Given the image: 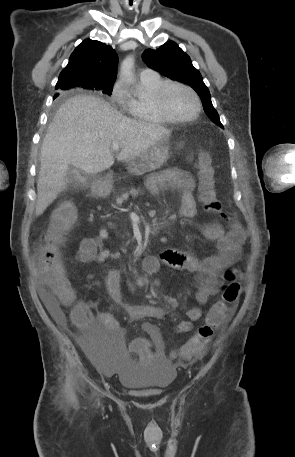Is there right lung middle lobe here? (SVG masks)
I'll use <instances>...</instances> for the list:
<instances>
[{"mask_svg":"<svg viewBox=\"0 0 295 457\" xmlns=\"http://www.w3.org/2000/svg\"><path fill=\"white\" fill-rule=\"evenodd\" d=\"M78 86L87 87V85L84 84V83L72 85V87H78ZM93 90H98V91H101V92L104 93V94L111 95L112 90H113V84L104 85V86H98V87H95Z\"/></svg>","mask_w":295,"mask_h":457,"instance_id":"dd1d6c3e","label":"right lung middle lobe"}]
</instances>
